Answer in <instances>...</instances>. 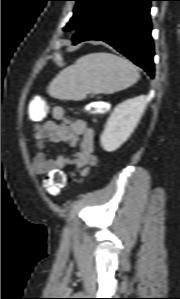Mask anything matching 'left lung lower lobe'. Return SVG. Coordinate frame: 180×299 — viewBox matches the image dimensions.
Masks as SVG:
<instances>
[{"label": "left lung lower lobe", "instance_id": "obj_1", "mask_svg": "<svg viewBox=\"0 0 180 299\" xmlns=\"http://www.w3.org/2000/svg\"><path fill=\"white\" fill-rule=\"evenodd\" d=\"M154 0H97L72 38L108 43L154 77L150 2Z\"/></svg>", "mask_w": 180, "mask_h": 299}]
</instances>
